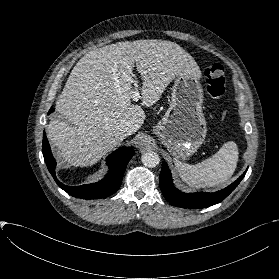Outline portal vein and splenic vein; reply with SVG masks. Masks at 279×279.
I'll list each match as a JSON object with an SVG mask.
<instances>
[{
    "label": "portal vein and splenic vein",
    "mask_w": 279,
    "mask_h": 279,
    "mask_svg": "<svg viewBox=\"0 0 279 279\" xmlns=\"http://www.w3.org/2000/svg\"><path fill=\"white\" fill-rule=\"evenodd\" d=\"M135 87L138 88L137 83H135ZM131 98H132L133 101H138V100H139V98H140V93H139V91H138L137 89H135V90L133 91Z\"/></svg>",
    "instance_id": "1"
}]
</instances>
